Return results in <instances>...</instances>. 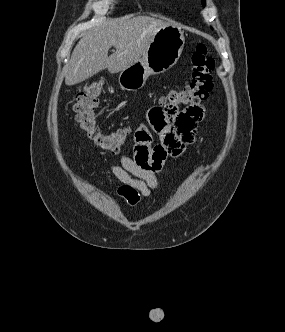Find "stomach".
Wrapping results in <instances>:
<instances>
[{
  "instance_id": "obj_1",
  "label": "stomach",
  "mask_w": 285,
  "mask_h": 332,
  "mask_svg": "<svg viewBox=\"0 0 285 332\" xmlns=\"http://www.w3.org/2000/svg\"><path fill=\"white\" fill-rule=\"evenodd\" d=\"M185 44L184 32L175 25L160 29L139 62L121 71L118 82L123 90L141 89L150 75L172 68L180 58Z\"/></svg>"
}]
</instances>
